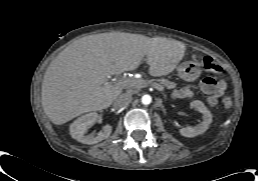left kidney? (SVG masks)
<instances>
[{
    "instance_id": "5707ae66",
    "label": "left kidney",
    "mask_w": 258,
    "mask_h": 181,
    "mask_svg": "<svg viewBox=\"0 0 258 181\" xmlns=\"http://www.w3.org/2000/svg\"><path fill=\"white\" fill-rule=\"evenodd\" d=\"M191 108H195L200 113L203 114V120L200 124L192 127L188 126L186 128H181L179 133L184 137H195L197 135L203 134L212 123V115L208 108L204 105L203 102L199 100L192 101L190 103Z\"/></svg>"
}]
</instances>
